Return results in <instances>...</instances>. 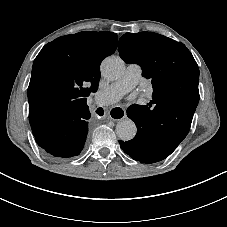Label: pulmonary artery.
Returning a JSON list of instances; mask_svg holds the SVG:
<instances>
[{"label": "pulmonary artery", "instance_id": "obj_1", "mask_svg": "<svg viewBox=\"0 0 227 227\" xmlns=\"http://www.w3.org/2000/svg\"><path fill=\"white\" fill-rule=\"evenodd\" d=\"M145 93L147 98L151 97L153 83L142 78V69L138 64H129L124 74L114 83L99 90L94 96L97 106H109L118 102L125 94L133 88Z\"/></svg>", "mask_w": 227, "mask_h": 227}]
</instances>
